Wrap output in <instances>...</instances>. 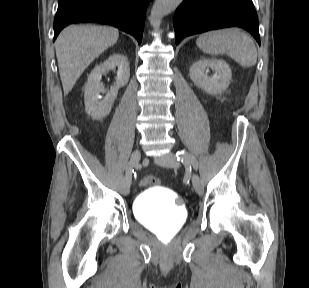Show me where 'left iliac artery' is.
I'll return each mask as SVG.
<instances>
[{
    "label": "left iliac artery",
    "mask_w": 309,
    "mask_h": 288,
    "mask_svg": "<svg viewBox=\"0 0 309 288\" xmlns=\"http://www.w3.org/2000/svg\"><path fill=\"white\" fill-rule=\"evenodd\" d=\"M176 157L178 161H181L184 164H188L191 163L193 168L195 170H197L198 164L197 161L195 160V158L189 154L188 152L184 151V150H179L176 153Z\"/></svg>",
    "instance_id": "44dca946"
}]
</instances>
